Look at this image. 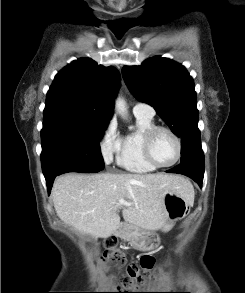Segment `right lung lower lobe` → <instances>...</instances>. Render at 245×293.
I'll list each match as a JSON object with an SVG mask.
<instances>
[{
	"mask_svg": "<svg viewBox=\"0 0 245 293\" xmlns=\"http://www.w3.org/2000/svg\"><path fill=\"white\" fill-rule=\"evenodd\" d=\"M99 171H100V169L88 168V167H79V166L65 167V168L61 169L60 171H58L56 174H54L48 178H45L46 183H47V187H48V191L49 192L51 191L53 181L57 175H60V174L66 173V172L95 173V172H99Z\"/></svg>",
	"mask_w": 245,
	"mask_h": 293,
	"instance_id": "98d812e1",
	"label": "right lung lower lobe"
}]
</instances>
